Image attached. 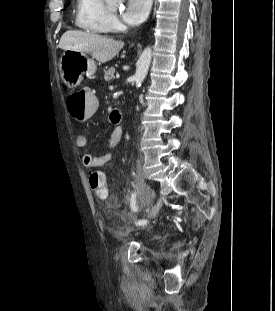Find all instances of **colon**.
<instances>
[{
    "label": "colon",
    "mask_w": 275,
    "mask_h": 311,
    "mask_svg": "<svg viewBox=\"0 0 275 311\" xmlns=\"http://www.w3.org/2000/svg\"><path fill=\"white\" fill-rule=\"evenodd\" d=\"M97 97L94 92L76 91L67 98V108L73 121L83 123L96 116ZM89 185L92 192L101 199L108 195L104 174L99 170L89 172Z\"/></svg>",
    "instance_id": "colon-1"
}]
</instances>
